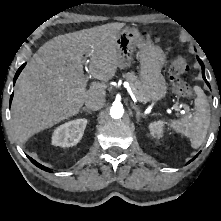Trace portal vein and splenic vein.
Returning a JSON list of instances; mask_svg holds the SVG:
<instances>
[{"instance_id": "obj_1", "label": "portal vein and splenic vein", "mask_w": 221, "mask_h": 221, "mask_svg": "<svg viewBox=\"0 0 221 221\" xmlns=\"http://www.w3.org/2000/svg\"><path fill=\"white\" fill-rule=\"evenodd\" d=\"M88 62H89V60H86V61H85V69H86V71H87V73H88V75H89V77H90V72H89V70H88V68H87ZM89 77H87V78H89ZM81 90H83V88H82ZM128 93H129V95L131 96V98L133 99V101H137L136 96H135L134 93L131 91V89H128ZM172 109H174L175 111L181 112L179 106H177L176 104H174V105L172 106Z\"/></svg>"}]
</instances>
